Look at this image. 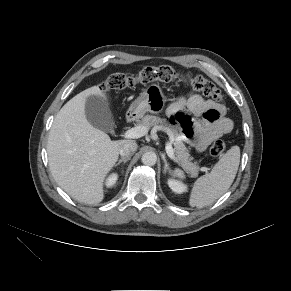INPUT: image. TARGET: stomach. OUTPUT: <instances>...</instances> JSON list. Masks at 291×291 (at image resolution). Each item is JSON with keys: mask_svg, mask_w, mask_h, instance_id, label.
Returning <instances> with one entry per match:
<instances>
[{"mask_svg": "<svg viewBox=\"0 0 291 291\" xmlns=\"http://www.w3.org/2000/svg\"><path fill=\"white\" fill-rule=\"evenodd\" d=\"M165 102L166 97L160 86L152 84L131 104L129 114L135 118H141L146 112L158 114L162 112Z\"/></svg>", "mask_w": 291, "mask_h": 291, "instance_id": "0dacf381", "label": "stomach"}]
</instances>
